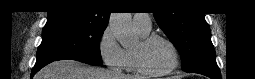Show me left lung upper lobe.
I'll list each match as a JSON object with an SVG mask.
<instances>
[{
    "mask_svg": "<svg viewBox=\"0 0 255 79\" xmlns=\"http://www.w3.org/2000/svg\"><path fill=\"white\" fill-rule=\"evenodd\" d=\"M160 6L154 14L159 27L175 45L182 57L185 72L198 69L218 68L215 50L211 42L209 26L204 13L166 11L174 1H155Z\"/></svg>",
    "mask_w": 255,
    "mask_h": 79,
    "instance_id": "obj_1",
    "label": "left lung upper lobe"
}]
</instances>
